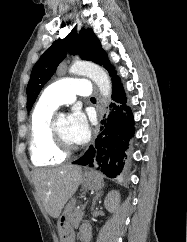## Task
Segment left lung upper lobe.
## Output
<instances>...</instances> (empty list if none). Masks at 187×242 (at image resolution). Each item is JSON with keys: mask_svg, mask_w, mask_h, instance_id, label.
I'll use <instances>...</instances> for the list:
<instances>
[{"mask_svg": "<svg viewBox=\"0 0 187 242\" xmlns=\"http://www.w3.org/2000/svg\"><path fill=\"white\" fill-rule=\"evenodd\" d=\"M67 51L73 55L79 53L84 60L103 66L114 80L116 72L110 64L108 56L101 48L100 41L91 29L82 28L79 35L73 32L63 40L55 41L40 57L32 69L27 86V110L29 111L42 87L55 73L59 63L65 58Z\"/></svg>", "mask_w": 187, "mask_h": 242, "instance_id": "5c2ea615", "label": "left lung upper lobe"}]
</instances>
